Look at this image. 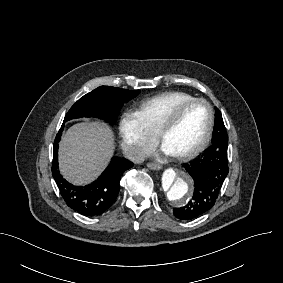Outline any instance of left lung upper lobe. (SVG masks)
Wrapping results in <instances>:
<instances>
[{"instance_id": "left-lung-upper-lobe-1", "label": "left lung upper lobe", "mask_w": 283, "mask_h": 283, "mask_svg": "<svg viewBox=\"0 0 283 283\" xmlns=\"http://www.w3.org/2000/svg\"><path fill=\"white\" fill-rule=\"evenodd\" d=\"M215 116H218V117L222 116L220 111L217 108H216V115Z\"/></svg>"}]
</instances>
